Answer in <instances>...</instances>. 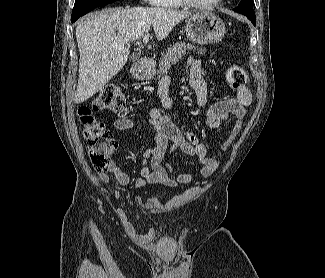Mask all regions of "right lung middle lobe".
I'll list each match as a JSON object with an SVG mask.
<instances>
[{"label": "right lung middle lobe", "instance_id": "right-lung-middle-lobe-1", "mask_svg": "<svg viewBox=\"0 0 325 278\" xmlns=\"http://www.w3.org/2000/svg\"><path fill=\"white\" fill-rule=\"evenodd\" d=\"M117 0H75L76 10H84L92 5L105 6L108 3L115 2ZM81 2V6L79 4Z\"/></svg>", "mask_w": 325, "mask_h": 278}]
</instances>
